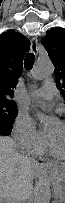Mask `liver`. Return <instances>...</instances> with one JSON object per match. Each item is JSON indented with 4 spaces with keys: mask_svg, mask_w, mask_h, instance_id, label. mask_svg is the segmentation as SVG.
I'll use <instances>...</instances> for the list:
<instances>
[{
    "mask_svg": "<svg viewBox=\"0 0 65 203\" xmlns=\"http://www.w3.org/2000/svg\"><path fill=\"white\" fill-rule=\"evenodd\" d=\"M10 137H0V202L21 203L27 198L31 180L38 173L40 164L17 153Z\"/></svg>",
    "mask_w": 65,
    "mask_h": 203,
    "instance_id": "liver-1",
    "label": "liver"
}]
</instances>
